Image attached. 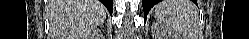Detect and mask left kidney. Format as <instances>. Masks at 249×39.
<instances>
[{"instance_id": "1", "label": "left kidney", "mask_w": 249, "mask_h": 39, "mask_svg": "<svg viewBox=\"0 0 249 39\" xmlns=\"http://www.w3.org/2000/svg\"><path fill=\"white\" fill-rule=\"evenodd\" d=\"M158 39H171V34H163L161 37H158Z\"/></svg>"}]
</instances>
